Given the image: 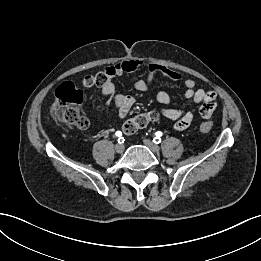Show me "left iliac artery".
<instances>
[{"instance_id": "left-iliac-artery-1", "label": "left iliac artery", "mask_w": 261, "mask_h": 261, "mask_svg": "<svg viewBox=\"0 0 261 261\" xmlns=\"http://www.w3.org/2000/svg\"><path fill=\"white\" fill-rule=\"evenodd\" d=\"M155 137L153 139V142L156 144H159L161 142V136H162V132L158 131L155 133Z\"/></svg>"}]
</instances>
